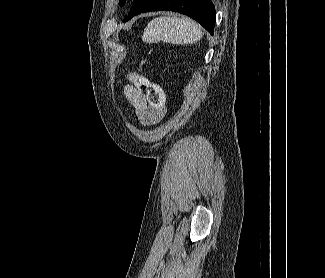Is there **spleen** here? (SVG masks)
Instances as JSON below:
<instances>
[{"label": "spleen", "mask_w": 325, "mask_h": 278, "mask_svg": "<svg viewBox=\"0 0 325 278\" xmlns=\"http://www.w3.org/2000/svg\"><path fill=\"white\" fill-rule=\"evenodd\" d=\"M202 37L200 27L186 17H157L148 23L143 40L146 43H171L186 45L197 42Z\"/></svg>", "instance_id": "spleen-1"}]
</instances>
